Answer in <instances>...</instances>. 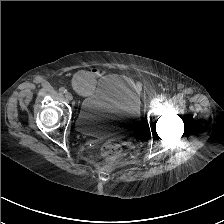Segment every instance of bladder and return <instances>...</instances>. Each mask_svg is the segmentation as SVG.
Returning a JSON list of instances; mask_svg holds the SVG:
<instances>
[{"label": "bladder", "instance_id": "31cf9c89", "mask_svg": "<svg viewBox=\"0 0 224 224\" xmlns=\"http://www.w3.org/2000/svg\"><path fill=\"white\" fill-rule=\"evenodd\" d=\"M75 124L78 132L88 137L132 138L140 126L138 98L117 75H106L81 101Z\"/></svg>", "mask_w": 224, "mask_h": 224}]
</instances>
